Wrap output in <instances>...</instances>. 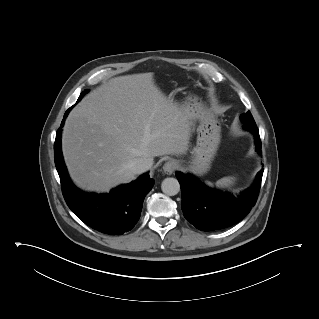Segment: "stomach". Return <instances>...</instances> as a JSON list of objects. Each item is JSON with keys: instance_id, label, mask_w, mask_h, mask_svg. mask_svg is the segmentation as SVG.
Listing matches in <instances>:
<instances>
[{"instance_id": "1", "label": "stomach", "mask_w": 319, "mask_h": 319, "mask_svg": "<svg viewBox=\"0 0 319 319\" xmlns=\"http://www.w3.org/2000/svg\"><path fill=\"white\" fill-rule=\"evenodd\" d=\"M182 108L187 110L191 119L198 122L197 143L186 169L196 175L205 174L218 150L221 139V123L196 96H188Z\"/></svg>"}]
</instances>
